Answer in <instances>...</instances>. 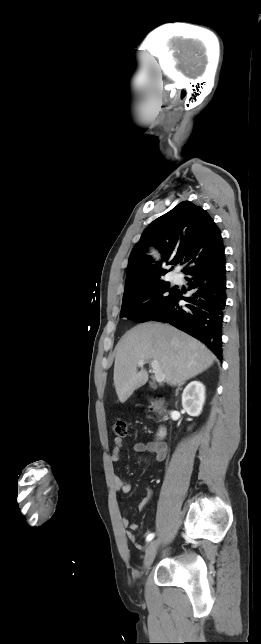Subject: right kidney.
<instances>
[{
	"label": "right kidney",
	"instance_id": "right-kidney-1",
	"mask_svg": "<svg viewBox=\"0 0 261 644\" xmlns=\"http://www.w3.org/2000/svg\"><path fill=\"white\" fill-rule=\"evenodd\" d=\"M205 402V386L199 381L190 382L182 393L183 409L190 416H199Z\"/></svg>",
	"mask_w": 261,
	"mask_h": 644
}]
</instances>
